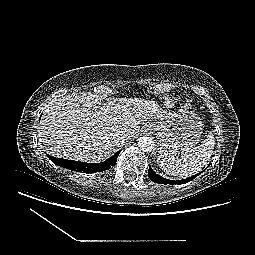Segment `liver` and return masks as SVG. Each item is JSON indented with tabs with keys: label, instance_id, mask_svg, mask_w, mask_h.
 I'll list each match as a JSON object with an SVG mask.
<instances>
[{
	"label": "liver",
	"instance_id": "liver-1",
	"mask_svg": "<svg viewBox=\"0 0 255 255\" xmlns=\"http://www.w3.org/2000/svg\"><path fill=\"white\" fill-rule=\"evenodd\" d=\"M167 112L155 101L141 98H107L92 93L66 95L50 101L39 127V143L50 155L84 162H100L140 130L150 119L165 120Z\"/></svg>",
	"mask_w": 255,
	"mask_h": 255
}]
</instances>
